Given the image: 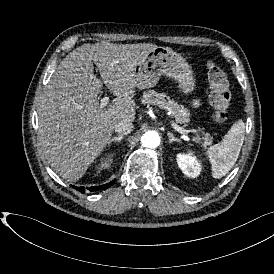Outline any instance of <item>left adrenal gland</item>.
<instances>
[{"label":"left adrenal gland","mask_w":274,"mask_h":274,"mask_svg":"<svg viewBox=\"0 0 274 274\" xmlns=\"http://www.w3.org/2000/svg\"><path fill=\"white\" fill-rule=\"evenodd\" d=\"M167 135H168V138H169V143H173L174 141L181 142L180 139L174 137L173 133L168 132Z\"/></svg>","instance_id":"left-adrenal-gland-1"}]
</instances>
